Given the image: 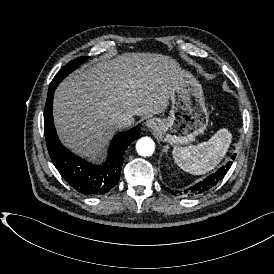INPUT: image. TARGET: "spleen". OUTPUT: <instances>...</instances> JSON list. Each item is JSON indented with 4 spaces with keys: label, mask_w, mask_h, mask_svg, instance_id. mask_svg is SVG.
I'll use <instances>...</instances> for the list:
<instances>
[{
    "label": "spleen",
    "mask_w": 274,
    "mask_h": 274,
    "mask_svg": "<svg viewBox=\"0 0 274 274\" xmlns=\"http://www.w3.org/2000/svg\"><path fill=\"white\" fill-rule=\"evenodd\" d=\"M232 134L228 129L218 130L207 142L188 147H174L172 154L175 162L186 172L203 175L213 170L224 158Z\"/></svg>",
    "instance_id": "3e777b00"
}]
</instances>
